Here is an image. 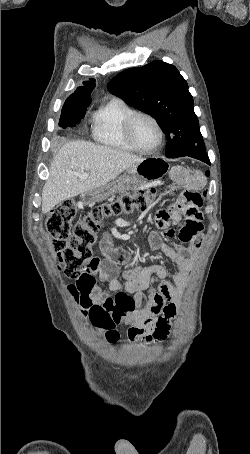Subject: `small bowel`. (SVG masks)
Wrapping results in <instances>:
<instances>
[{"instance_id": "small-bowel-1", "label": "small bowel", "mask_w": 250, "mask_h": 454, "mask_svg": "<svg viewBox=\"0 0 250 454\" xmlns=\"http://www.w3.org/2000/svg\"><path fill=\"white\" fill-rule=\"evenodd\" d=\"M185 191L168 209H161L155 217L158 228L164 230V237H171V224L184 218L179 239L187 245L175 247L162 243L160 234L152 232L149 237V250H161L177 266L172 280H167L164 266L151 265L133 267L125 271L124 281L117 277L118 266L124 264L129 253L112 246L108 238L103 239L100 248L104 259L95 257L78 277L81 313L87 315L92 305H102L120 323L130 324V340H163L171 331L172 320L176 317L182 291L187 284L193 259L202 243V196L199 193L205 180L199 174L182 172L176 177ZM97 278L106 284L107 291L97 285ZM159 285L150 290L149 300L143 304L142 293L150 289L154 280ZM112 294V295H110Z\"/></svg>"}]
</instances>
